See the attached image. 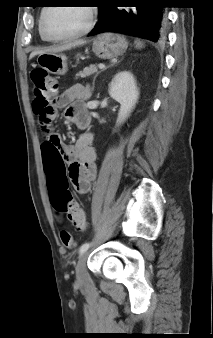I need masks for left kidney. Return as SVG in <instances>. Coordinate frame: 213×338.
Segmentation results:
<instances>
[{
    "mask_svg": "<svg viewBox=\"0 0 213 338\" xmlns=\"http://www.w3.org/2000/svg\"><path fill=\"white\" fill-rule=\"evenodd\" d=\"M109 95L120 103L117 123L122 124L130 115L139 98L136 79L132 73L121 71L109 85Z\"/></svg>",
    "mask_w": 213,
    "mask_h": 338,
    "instance_id": "left-kidney-1",
    "label": "left kidney"
}]
</instances>
